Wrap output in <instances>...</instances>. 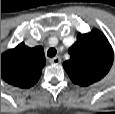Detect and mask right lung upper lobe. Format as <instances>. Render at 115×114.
<instances>
[{
  "instance_id": "1",
  "label": "right lung upper lobe",
  "mask_w": 115,
  "mask_h": 114,
  "mask_svg": "<svg viewBox=\"0 0 115 114\" xmlns=\"http://www.w3.org/2000/svg\"><path fill=\"white\" fill-rule=\"evenodd\" d=\"M45 63L41 46L30 48L22 42L1 55V77L11 85L28 88L39 80Z\"/></svg>"
}]
</instances>
